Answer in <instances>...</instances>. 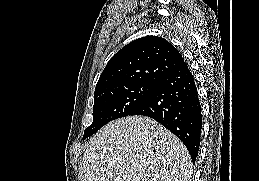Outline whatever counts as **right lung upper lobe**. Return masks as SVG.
Instances as JSON below:
<instances>
[{
	"mask_svg": "<svg viewBox=\"0 0 259 181\" xmlns=\"http://www.w3.org/2000/svg\"><path fill=\"white\" fill-rule=\"evenodd\" d=\"M184 63L182 55L167 40L157 36L136 39L108 61L95 93L135 83H156Z\"/></svg>",
	"mask_w": 259,
	"mask_h": 181,
	"instance_id": "right-lung-upper-lobe-1",
	"label": "right lung upper lobe"
}]
</instances>
